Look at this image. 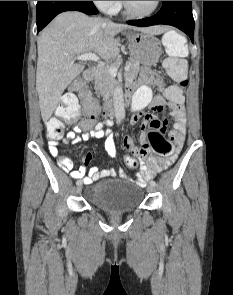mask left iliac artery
<instances>
[{
	"mask_svg": "<svg viewBox=\"0 0 233 295\" xmlns=\"http://www.w3.org/2000/svg\"><path fill=\"white\" fill-rule=\"evenodd\" d=\"M150 185L156 186V182L152 180V181H150Z\"/></svg>",
	"mask_w": 233,
	"mask_h": 295,
	"instance_id": "44dca946",
	"label": "left iliac artery"
}]
</instances>
